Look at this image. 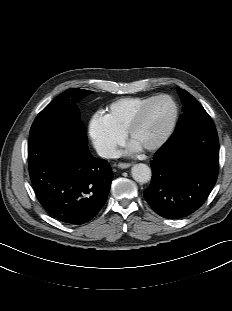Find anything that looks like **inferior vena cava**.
<instances>
[{
    "mask_svg": "<svg viewBox=\"0 0 232 311\" xmlns=\"http://www.w3.org/2000/svg\"><path fill=\"white\" fill-rule=\"evenodd\" d=\"M96 152L102 158H117L119 155L118 151L110 146H99Z\"/></svg>",
    "mask_w": 232,
    "mask_h": 311,
    "instance_id": "inferior-vena-cava-1",
    "label": "inferior vena cava"
}]
</instances>
